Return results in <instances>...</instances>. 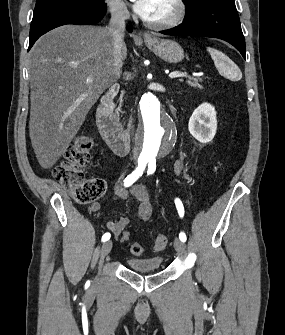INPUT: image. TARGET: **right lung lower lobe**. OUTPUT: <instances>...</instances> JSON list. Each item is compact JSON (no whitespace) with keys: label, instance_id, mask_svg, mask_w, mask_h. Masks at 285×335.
Listing matches in <instances>:
<instances>
[{"label":"right lung lower lobe","instance_id":"obj_1","mask_svg":"<svg viewBox=\"0 0 285 335\" xmlns=\"http://www.w3.org/2000/svg\"><path fill=\"white\" fill-rule=\"evenodd\" d=\"M106 13V5L87 6L67 2H58L34 11L30 27L29 48L44 33L66 24L93 25L99 22ZM131 32L132 29L128 26Z\"/></svg>","mask_w":285,"mask_h":335}]
</instances>
